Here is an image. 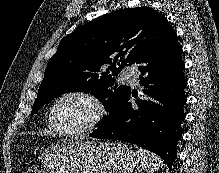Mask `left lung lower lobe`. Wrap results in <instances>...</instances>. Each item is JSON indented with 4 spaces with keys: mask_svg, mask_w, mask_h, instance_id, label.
<instances>
[{
    "mask_svg": "<svg viewBox=\"0 0 219 173\" xmlns=\"http://www.w3.org/2000/svg\"><path fill=\"white\" fill-rule=\"evenodd\" d=\"M181 52L182 47L173 31L142 55L136 63L139 64L140 84L146 88L144 93L148 99L132 104L129 102L130 91L108 120L90 136L136 144L159 155L172 170L177 141L182 136L183 106L187 100Z\"/></svg>",
    "mask_w": 219,
    "mask_h": 173,
    "instance_id": "left-lung-lower-lobe-1",
    "label": "left lung lower lobe"
}]
</instances>
